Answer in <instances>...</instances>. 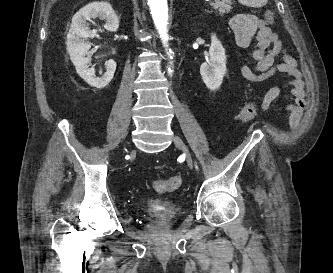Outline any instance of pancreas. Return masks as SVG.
Here are the masks:
<instances>
[{
	"label": "pancreas",
	"instance_id": "obj_1",
	"mask_svg": "<svg viewBox=\"0 0 333 273\" xmlns=\"http://www.w3.org/2000/svg\"><path fill=\"white\" fill-rule=\"evenodd\" d=\"M213 7L221 14L228 13L231 10V0H215Z\"/></svg>",
	"mask_w": 333,
	"mask_h": 273
}]
</instances>
